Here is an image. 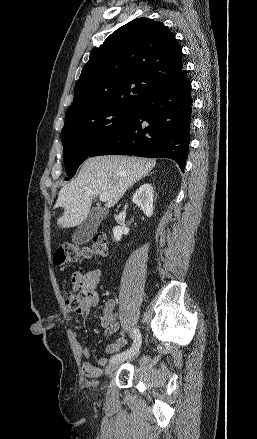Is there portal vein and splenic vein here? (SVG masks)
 I'll list each match as a JSON object with an SVG mask.
<instances>
[{
    "instance_id": "portal-vein-and-splenic-vein-1",
    "label": "portal vein and splenic vein",
    "mask_w": 257,
    "mask_h": 439,
    "mask_svg": "<svg viewBox=\"0 0 257 439\" xmlns=\"http://www.w3.org/2000/svg\"><path fill=\"white\" fill-rule=\"evenodd\" d=\"M109 198H110V195L107 193L100 194V200L102 202H107L109 200Z\"/></svg>"
}]
</instances>
